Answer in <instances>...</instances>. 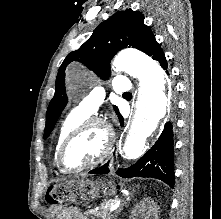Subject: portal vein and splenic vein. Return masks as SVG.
Here are the masks:
<instances>
[{
    "label": "portal vein and splenic vein",
    "mask_w": 221,
    "mask_h": 219,
    "mask_svg": "<svg viewBox=\"0 0 221 219\" xmlns=\"http://www.w3.org/2000/svg\"><path fill=\"white\" fill-rule=\"evenodd\" d=\"M118 208V204H114L111 208L110 211H114Z\"/></svg>",
    "instance_id": "18ae733b"
}]
</instances>
